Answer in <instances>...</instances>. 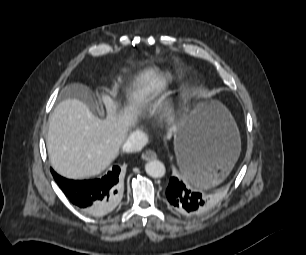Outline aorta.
<instances>
[{
    "label": "aorta",
    "mask_w": 306,
    "mask_h": 255,
    "mask_svg": "<svg viewBox=\"0 0 306 255\" xmlns=\"http://www.w3.org/2000/svg\"><path fill=\"white\" fill-rule=\"evenodd\" d=\"M145 171L152 178H161L166 173L164 164L159 160H151L146 163Z\"/></svg>",
    "instance_id": "1"
}]
</instances>
